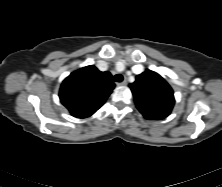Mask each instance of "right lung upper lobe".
Instances as JSON below:
<instances>
[{"label": "right lung upper lobe", "mask_w": 222, "mask_h": 187, "mask_svg": "<svg viewBox=\"0 0 222 187\" xmlns=\"http://www.w3.org/2000/svg\"><path fill=\"white\" fill-rule=\"evenodd\" d=\"M112 75L95 66L83 67L71 73L61 84V103L77 118L94 114L106 101L115 87Z\"/></svg>", "instance_id": "obj_1"}]
</instances>
